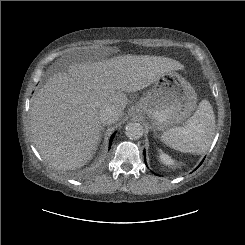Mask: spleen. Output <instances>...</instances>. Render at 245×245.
Masks as SVG:
<instances>
[{
	"label": "spleen",
	"instance_id": "obj_1",
	"mask_svg": "<svg viewBox=\"0 0 245 245\" xmlns=\"http://www.w3.org/2000/svg\"><path fill=\"white\" fill-rule=\"evenodd\" d=\"M215 115L208 100H202L186 124L163 132L161 139L169 147L184 153H205L215 136Z\"/></svg>",
	"mask_w": 245,
	"mask_h": 245
}]
</instances>
